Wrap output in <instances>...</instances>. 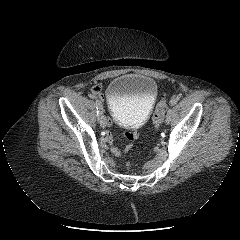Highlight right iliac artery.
<instances>
[{
  "label": "right iliac artery",
  "mask_w": 240,
  "mask_h": 240,
  "mask_svg": "<svg viewBox=\"0 0 240 240\" xmlns=\"http://www.w3.org/2000/svg\"><path fill=\"white\" fill-rule=\"evenodd\" d=\"M96 107H97V115L103 114V107L99 100H96Z\"/></svg>",
  "instance_id": "right-iliac-artery-1"
}]
</instances>
